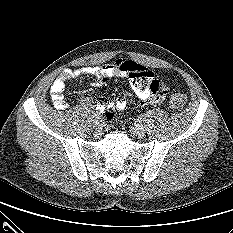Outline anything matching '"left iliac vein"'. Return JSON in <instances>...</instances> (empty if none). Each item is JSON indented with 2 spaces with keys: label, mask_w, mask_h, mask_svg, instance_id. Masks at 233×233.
Segmentation results:
<instances>
[{
  "label": "left iliac vein",
  "mask_w": 233,
  "mask_h": 233,
  "mask_svg": "<svg viewBox=\"0 0 233 233\" xmlns=\"http://www.w3.org/2000/svg\"><path fill=\"white\" fill-rule=\"evenodd\" d=\"M133 132L138 137H143L145 135V130L142 125L137 124L133 128Z\"/></svg>",
  "instance_id": "obj_1"
}]
</instances>
